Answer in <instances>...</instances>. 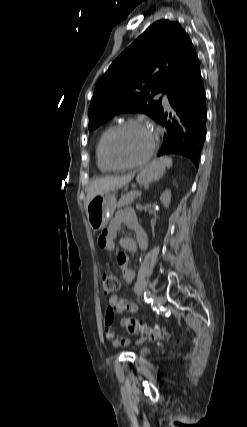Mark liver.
<instances>
[{
    "label": "liver",
    "instance_id": "1",
    "mask_svg": "<svg viewBox=\"0 0 247 427\" xmlns=\"http://www.w3.org/2000/svg\"><path fill=\"white\" fill-rule=\"evenodd\" d=\"M133 176L134 174H129L127 176L122 177H106L92 181L88 188L85 200V208H87L88 204L95 196L106 191H113L118 188H121L122 186L130 182Z\"/></svg>",
    "mask_w": 247,
    "mask_h": 427
}]
</instances>
